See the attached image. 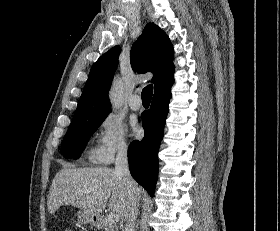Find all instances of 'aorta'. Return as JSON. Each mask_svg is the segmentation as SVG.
Instances as JSON below:
<instances>
[{"label":"aorta","instance_id":"1","mask_svg":"<svg viewBox=\"0 0 280 231\" xmlns=\"http://www.w3.org/2000/svg\"><path fill=\"white\" fill-rule=\"evenodd\" d=\"M109 100L114 110H118V108H121L123 104V92L121 82H119V80H114L109 92Z\"/></svg>","mask_w":280,"mask_h":231}]
</instances>
